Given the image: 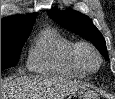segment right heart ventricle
<instances>
[{
	"instance_id": "1",
	"label": "right heart ventricle",
	"mask_w": 115,
	"mask_h": 99,
	"mask_svg": "<svg viewBox=\"0 0 115 99\" xmlns=\"http://www.w3.org/2000/svg\"><path fill=\"white\" fill-rule=\"evenodd\" d=\"M74 42L54 28L43 29L32 45L27 60L31 72L68 78L86 76L74 62Z\"/></svg>"
}]
</instances>
